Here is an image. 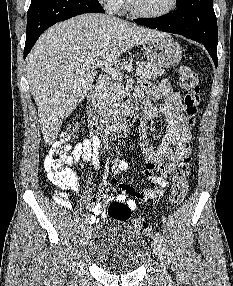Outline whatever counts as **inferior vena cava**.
<instances>
[{
  "instance_id": "inferior-vena-cava-1",
  "label": "inferior vena cava",
  "mask_w": 233,
  "mask_h": 286,
  "mask_svg": "<svg viewBox=\"0 0 233 286\" xmlns=\"http://www.w3.org/2000/svg\"><path fill=\"white\" fill-rule=\"evenodd\" d=\"M108 86L109 82L106 76H100L97 86V98L100 104L99 112L102 118V127L104 123L107 122L108 119V100H107V93H108Z\"/></svg>"
}]
</instances>
